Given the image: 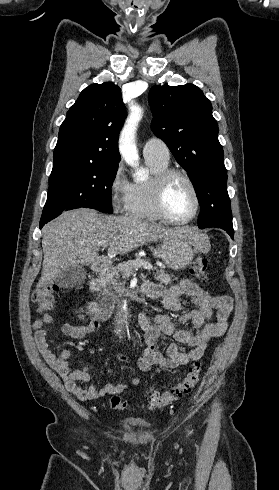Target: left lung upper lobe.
<instances>
[{
    "instance_id": "left-lung-upper-lobe-1",
    "label": "left lung upper lobe",
    "mask_w": 279,
    "mask_h": 490,
    "mask_svg": "<svg viewBox=\"0 0 279 490\" xmlns=\"http://www.w3.org/2000/svg\"><path fill=\"white\" fill-rule=\"evenodd\" d=\"M151 129L187 171L201 212L198 227L231 228L227 172L212 105L193 84L155 85L149 91Z\"/></svg>"
}]
</instances>
